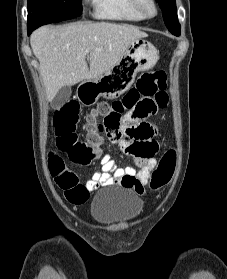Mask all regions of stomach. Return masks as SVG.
Masks as SVG:
<instances>
[{"mask_svg":"<svg viewBox=\"0 0 227 279\" xmlns=\"http://www.w3.org/2000/svg\"><path fill=\"white\" fill-rule=\"evenodd\" d=\"M142 36L133 41L121 59L95 79L78 87V98L84 105L95 104L100 97L115 99L133 84L138 72L152 68L159 59L156 47Z\"/></svg>","mask_w":227,"mask_h":279,"instance_id":"1","label":"stomach"}]
</instances>
